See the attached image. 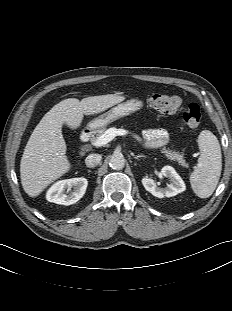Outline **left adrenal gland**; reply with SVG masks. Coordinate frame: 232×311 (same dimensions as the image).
<instances>
[{
    "mask_svg": "<svg viewBox=\"0 0 232 311\" xmlns=\"http://www.w3.org/2000/svg\"><path fill=\"white\" fill-rule=\"evenodd\" d=\"M142 157L145 158L146 156H145V155H137V156H134L135 159H139V158H142Z\"/></svg>",
    "mask_w": 232,
    "mask_h": 311,
    "instance_id": "a2214340",
    "label": "left adrenal gland"
}]
</instances>
